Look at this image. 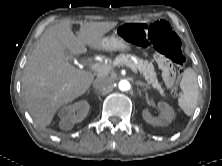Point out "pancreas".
<instances>
[{"instance_id":"obj_1","label":"pancreas","mask_w":222,"mask_h":166,"mask_svg":"<svg viewBox=\"0 0 222 166\" xmlns=\"http://www.w3.org/2000/svg\"><path fill=\"white\" fill-rule=\"evenodd\" d=\"M123 64H131L135 66L140 73L144 75L147 80V83L150 84L153 88L157 89V91L162 95L165 96L164 89L162 88L161 84L158 82L157 73L155 71L154 65L147 60L138 59L137 63H135L129 54L124 55L121 54L119 57L116 58L114 65H123ZM111 68L110 65H105Z\"/></svg>"}]
</instances>
